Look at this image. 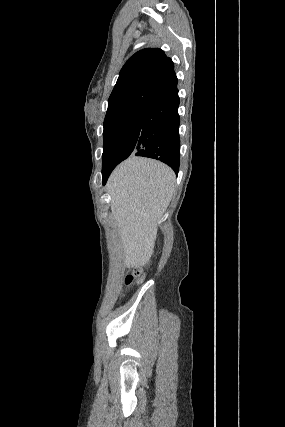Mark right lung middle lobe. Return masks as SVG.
Here are the masks:
<instances>
[{
    "label": "right lung middle lobe",
    "mask_w": 285,
    "mask_h": 427,
    "mask_svg": "<svg viewBox=\"0 0 285 427\" xmlns=\"http://www.w3.org/2000/svg\"><path fill=\"white\" fill-rule=\"evenodd\" d=\"M146 111H139L103 124L102 172L112 171L134 153Z\"/></svg>",
    "instance_id": "1"
}]
</instances>
